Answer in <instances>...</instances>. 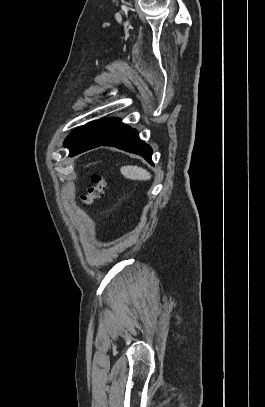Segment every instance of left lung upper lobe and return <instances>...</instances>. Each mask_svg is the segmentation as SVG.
<instances>
[{
    "label": "left lung upper lobe",
    "mask_w": 265,
    "mask_h": 407,
    "mask_svg": "<svg viewBox=\"0 0 265 407\" xmlns=\"http://www.w3.org/2000/svg\"><path fill=\"white\" fill-rule=\"evenodd\" d=\"M129 128L118 118L97 120L75 129L65 140L70 151L104 143Z\"/></svg>",
    "instance_id": "5c2ea615"
}]
</instances>
